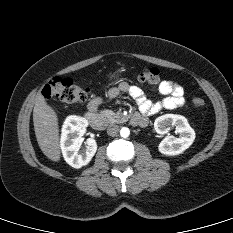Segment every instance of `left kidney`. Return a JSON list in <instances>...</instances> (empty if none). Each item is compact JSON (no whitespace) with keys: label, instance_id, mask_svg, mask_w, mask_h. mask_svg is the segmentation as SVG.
I'll return each mask as SVG.
<instances>
[{"label":"left kidney","instance_id":"1","mask_svg":"<svg viewBox=\"0 0 233 233\" xmlns=\"http://www.w3.org/2000/svg\"><path fill=\"white\" fill-rule=\"evenodd\" d=\"M170 126L175 127V132L179 134V137L166 136L160 142L158 149L164 155L175 156L183 153L192 145L195 132L182 115L165 114L154 122V129L158 134H167Z\"/></svg>","mask_w":233,"mask_h":233}]
</instances>
